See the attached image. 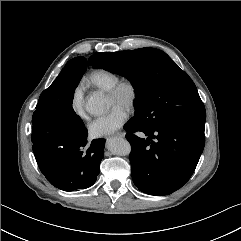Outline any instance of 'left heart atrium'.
Returning a JSON list of instances; mask_svg holds the SVG:
<instances>
[{
    "label": "left heart atrium",
    "instance_id": "1",
    "mask_svg": "<svg viewBox=\"0 0 241 241\" xmlns=\"http://www.w3.org/2000/svg\"><path fill=\"white\" fill-rule=\"evenodd\" d=\"M127 118L126 108L114 106L108 114L96 118L89 125V134L93 138L111 135L127 121Z\"/></svg>",
    "mask_w": 241,
    "mask_h": 241
}]
</instances>
